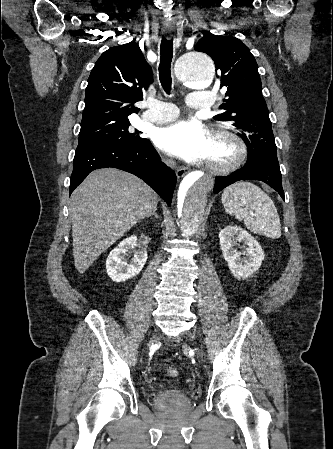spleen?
<instances>
[{"mask_svg": "<svg viewBox=\"0 0 333 449\" xmlns=\"http://www.w3.org/2000/svg\"><path fill=\"white\" fill-rule=\"evenodd\" d=\"M222 204L228 214L244 220L253 233L275 239L281 236V223L271 198L258 186L250 182H237L224 189ZM254 211V216L248 213Z\"/></svg>", "mask_w": 333, "mask_h": 449, "instance_id": "1", "label": "spleen"}]
</instances>
